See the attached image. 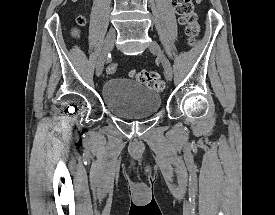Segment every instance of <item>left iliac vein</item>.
Instances as JSON below:
<instances>
[{"instance_id": "obj_1", "label": "left iliac vein", "mask_w": 275, "mask_h": 215, "mask_svg": "<svg viewBox=\"0 0 275 215\" xmlns=\"http://www.w3.org/2000/svg\"><path fill=\"white\" fill-rule=\"evenodd\" d=\"M149 50L160 58V61L164 68V73L166 77L171 80L173 77L172 66L167 57L163 54L159 44L154 40L151 41V43L149 44Z\"/></svg>"}]
</instances>
